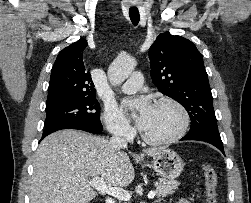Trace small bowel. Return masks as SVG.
<instances>
[{
    "mask_svg": "<svg viewBox=\"0 0 251 203\" xmlns=\"http://www.w3.org/2000/svg\"><path fill=\"white\" fill-rule=\"evenodd\" d=\"M178 203H190L187 199H181Z\"/></svg>",
    "mask_w": 251,
    "mask_h": 203,
    "instance_id": "c3829d8e",
    "label": "small bowel"
}]
</instances>
